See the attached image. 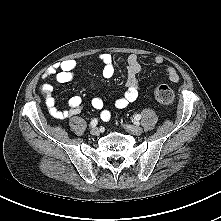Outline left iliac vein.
Segmentation results:
<instances>
[{"label":"left iliac vein","mask_w":221,"mask_h":221,"mask_svg":"<svg viewBox=\"0 0 221 221\" xmlns=\"http://www.w3.org/2000/svg\"><path fill=\"white\" fill-rule=\"evenodd\" d=\"M124 128L133 135H140L143 132V129L136 125H125Z\"/></svg>","instance_id":"left-iliac-vein-1"}]
</instances>
